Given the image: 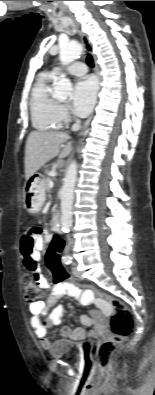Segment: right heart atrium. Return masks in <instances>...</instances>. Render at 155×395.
I'll use <instances>...</instances> for the list:
<instances>
[{
    "mask_svg": "<svg viewBox=\"0 0 155 395\" xmlns=\"http://www.w3.org/2000/svg\"><path fill=\"white\" fill-rule=\"evenodd\" d=\"M59 117L62 123H67L71 119V114L66 106H59Z\"/></svg>",
    "mask_w": 155,
    "mask_h": 395,
    "instance_id": "d8ad5b80",
    "label": "right heart atrium"
}]
</instances>
